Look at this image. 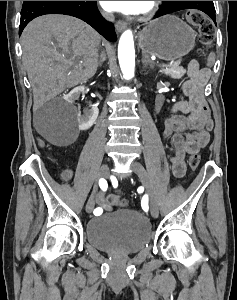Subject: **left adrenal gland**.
<instances>
[{"label": "left adrenal gland", "mask_w": 237, "mask_h": 300, "mask_svg": "<svg viewBox=\"0 0 237 300\" xmlns=\"http://www.w3.org/2000/svg\"><path fill=\"white\" fill-rule=\"evenodd\" d=\"M141 61H142V65H145V67H147V65H150V67H152V61H150L147 55H143Z\"/></svg>", "instance_id": "a2214340"}]
</instances>
